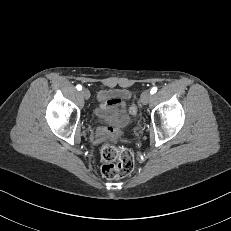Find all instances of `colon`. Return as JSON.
Instances as JSON below:
<instances>
[{
  "label": "colon",
  "instance_id": "colon-1",
  "mask_svg": "<svg viewBox=\"0 0 231 231\" xmlns=\"http://www.w3.org/2000/svg\"><path fill=\"white\" fill-rule=\"evenodd\" d=\"M130 112L135 114L136 107L132 106ZM101 159L103 161L101 172L107 179L127 176L134 169V156L127 148L104 144L101 148Z\"/></svg>",
  "mask_w": 231,
  "mask_h": 231
}]
</instances>
